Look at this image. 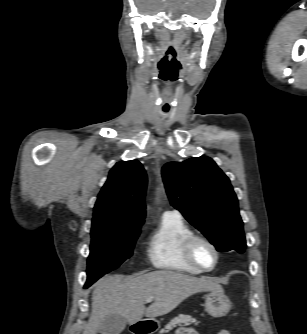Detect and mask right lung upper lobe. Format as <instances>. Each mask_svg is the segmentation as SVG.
Segmentation results:
<instances>
[{
	"label": "right lung upper lobe",
	"mask_w": 307,
	"mask_h": 334,
	"mask_svg": "<svg viewBox=\"0 0 307 334\" xmlns=\"http://www.w3.org/2000/svg\"><path fill=\"white\" fill-rule=\"evenodd\" d=\"M147 176L137 160L121 161L110 170L94 207L92 228L142 225Z\"/></svg>",
	"instance_id": "1"
}]
</instances>
